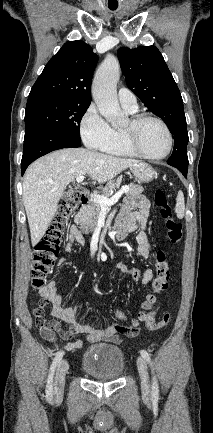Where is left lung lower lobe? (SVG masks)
<instances>
[{"label": "left lung lower lobe", "instance_id": "1", "mask_svg": "<svg viewBox=\"0 0 213 433\" xmlns=\"http://www.w3.org/2000/svg\"><path fill=\"white\" fill-rule=\"evenodd\" d=\"M170 165L176 167L177 169H179L181 171V173L184 175L185 178H187V171H188V167H183V166H179V165H175L172 164L170 162H168Z\"/></svg>", "mask_w": 213, "mask_h": 433}]
</instances>
